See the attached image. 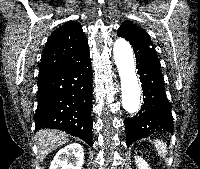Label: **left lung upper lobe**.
<instances>
[{
	"label": "left lung upper lobe",
	"instance_id": "left-lung-upper-lobe-1",
	"mask_svg": "<svg viewBox=\"0 0 200 169\" xmlns=\"http://www.w3.org/2000/svg\"><path fill=\"white\" fill-rule=\"evenodd\" d=\"M118 36L126 38L132 44L136 60H147L160 67L156 50L145 30L130 21H125L118 29Z\"/></svg>",
	"mask_w": 200,
	"mask_h": 169
}]
</instances>
